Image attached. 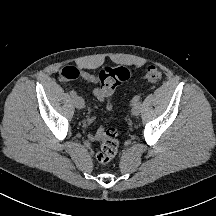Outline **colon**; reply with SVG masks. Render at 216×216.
Returning <instances> with one entry per match:
<instances>
[{
  "instance_id": "colon-1",
  "label": "colon",
  "mask_w": 216,
  "mask_h": 216,
  "mask_svg": "<svg viewBox=\"0 0 216 216\" xmlns=\"http://www.w3.org/2000/svg\"><path fill=\"white\" fill-rule=\"evenodd\" d=\"M134 72V69L124 66L106 67L99 73V84L105 93L111 94L120 83L128 80ZM60 74L61 78L65 80H73L79 77L78 69L72 66L64 67ZM144 78L151 82H158L162 78V72L156 66H149ZM98 139L100 148L96 153V160L100 164H107L117 154L119 147L118 132L113 127H103L99 130Z\"/></svg>"
}]
</instances>
